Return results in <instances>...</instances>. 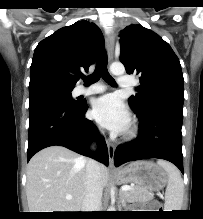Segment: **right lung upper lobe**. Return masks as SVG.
<instances>
[{"label":"right lung upper lobe","instance_id":"right-lung-upper-lobe-1","mask_svg":"<svg viewBox=\"0 0 203 219\" xmlns=\"http://www.w3.org/2000/svg\"><path fill=\"white\" fill-rule=\"evenodd\" d=\"M104 38L96 24L86 20L63 27L42 40L35 48L30 82L54 80L75 86L96 60Z\"/></svg>","mask_w":203,"mask_h":219}]
</instances>
